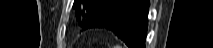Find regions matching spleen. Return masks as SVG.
Masks as SVG:
<instances>
[{
    "mask_svg": "<svg viewBox=\"0 0 213 48\" xmlns=\"http://www.w3.org/2000/svg\"><path fill=\"white\" fill-rule=\"evenodd\" d=\"M113 48H122V46L116 44V45L113 46Z\"/></svg>",
    "mask_w": 213,
    "mask_h": 48,
    "instance_id": "spleen-1",
    "label": "spleen"
}]
</instances>
